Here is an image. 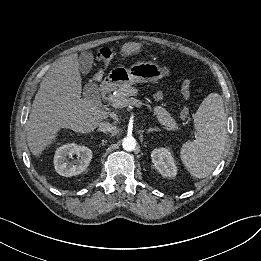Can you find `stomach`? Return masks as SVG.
<instances>
[{
    "label": "stomach",
    "instance_id": "obj_1",
    "mask_svg": "<svg viewBox=\"0 0 261 261\" xmlns=\"http://www.w3.org/2000/svg\"><path fill=\"white\" fill-rule=\"evenodd\" d=\"M170 70L153 62H137L129 69L117 67L110 72L109 80L116 86L133 85L140 82H156L169 76Z\"/></svg>",
    "mask_w": 261,
    "mask_h": 261
}]
</instances>
